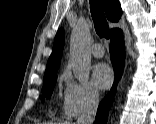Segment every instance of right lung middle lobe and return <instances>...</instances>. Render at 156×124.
I'll return each mask as SVG.
<instances>
[{"mask_svg": "<svg viewBox=\"0 0 156 124\" xmlns=\"http://www.w3.org/2000/svg\"><path fill=\"white\" fill-rule=\"evenodd\" d=\"M56 80H57L56 75L44 77V85L42 88L43 101H44V97L48 98L51 96L54 86L56 84Z\"/></svg>", "mask_w": 156, "mask_h": 124, "instance_id": "dd1d6c3e", "label": "right lung middle lobe"}]
</instances>
